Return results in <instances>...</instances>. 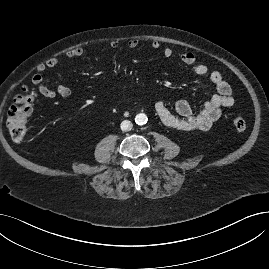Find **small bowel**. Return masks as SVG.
I'll return each mask as SVG.
<instances>
[{
    "label": "small bowel",
    "mask_w": 269,
    "mask_h": 269,
    "mask_svg": "<svg viewBox=\"0 0 269 269\" xmlns=\"http://www.w3.org/2000/svg\"><path fill=\"white\" fill-rule=\"evenodd\" d=\"M138 46L139 41L137 39H130L127 43V47L132 50L136 49ZM110 47L112 49L119 48V42L112 40ZM151 47L154 50H161L165 58L173 56V49L170 46H163L159 41H153ZM83 52V49L80 47L73 48L66 52V57H80L83 55ZM179 59L184 65L188 66L194 74L198 76L209 74V79L215 87L216 94L205 102L203 109L198 114H193L189 102L181 99L175 103L173 111H171L164 102H156L154 105L156 115L163 124L180 131L209 130L221 117L224 108H231L236 105V101L232 95V87L224 80L221 72L215 70L209 73L206 65L197 63L193 53L182 52L179 54ZM57 65L58 59L51 58L45 63L38 65L31 78L32 83L46 99H52L57 95L67 98L71 94L70 88L65 85H58L56 89H51L44 84L43 73L47 69Z\"/></svg>",
    "instance_id": "1"
}]
</instances>
